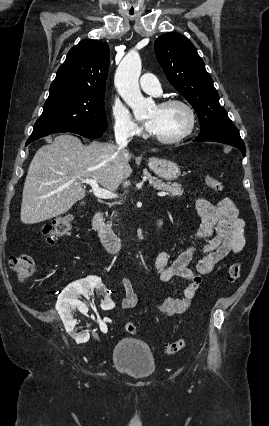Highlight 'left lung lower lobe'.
<instances>
[{
	"mask_svg": "<svg viewBox=\"0 0 269 426\" xmlns=\"http://www.w3.org/2000/svg\"><path fill=\"white\" fill-rule=\"evenodd\" d=\"M193 141H195V142H198V141L220 142V143L228 144V145H231L233 147L238 148L242 152L243 156H245V154H246L244 142L241 139L239 131L236 127L225 130V131L217 132L212 136L204 137V136L198 135V137L195 138Z\"/></svg>",
	"mask_w": 269,
	"mask_h": 426,
	"instance_id": "0a47b994",
	"label": "left lung lower lobe"
}]
</instances>
